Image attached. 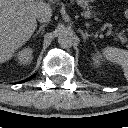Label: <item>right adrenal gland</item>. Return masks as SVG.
Listing matches in <instances>:
<instances>
[{
    "instance_id": "obj_1",
    "label": "right adrenal gland",
    "mask_w": 128,
    "mask_h": 128,
    "mask_svg": "<svg viewBox=\"0 0 128 128\" xmlns=\"http://www.w3.org/2000/svg\"><path fill=\"white\" fill-rule=\"evenodd\" d=\"M47 24H43V25H40L39 26V29L36 31V33L33 35V38L38 34V33H41L43 34L44 32V28L46 27Z\"/></svg>"
}]
</instances>
